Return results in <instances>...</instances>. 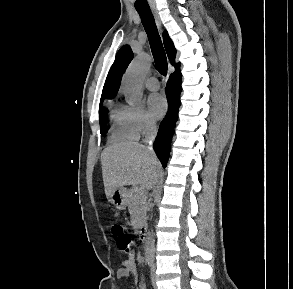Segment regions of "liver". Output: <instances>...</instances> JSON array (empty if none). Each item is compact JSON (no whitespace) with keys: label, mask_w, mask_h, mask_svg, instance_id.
<instances>
[{"label":"liver","mask_w":293,"mask_h":289,"mask_svg":"<svg viewBox=\"0 0 293 289\" xmlns=\"http://www.w3.org/2000/svg\"><path fill=\"white\" fill-rule=\"evenodd\" d=\"M102 176L106 197L126 185H140L150 190L161 175L156 155L138 142L114 144L101 154Z\"/></svg>","instance_id":"liver-1"}]
</instances>
